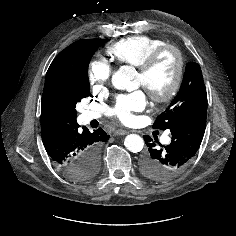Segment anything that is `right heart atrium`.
<instances>
[{
    "instance_id": "1",
    "label": "right heart atrium",
    "mask_w": 236,
    "mask_h": 236,
    "mask_svg": "<svg viewBox=\"0 0 236 236\" xmlns=\"http://www.w3.org/2000/svg\"><path fill=\"white\" fill-rule=\"evenodd\" d=\"M112 68L110 64L102 58H94L89 62L87 77L91 87L100 91L106 87L110 81Z\"/></svg>"
}]
</instances>
